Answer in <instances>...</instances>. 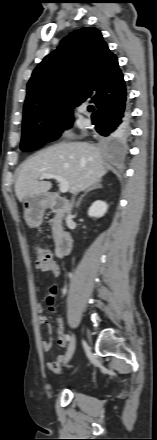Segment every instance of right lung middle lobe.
I'll list each match as a JSON object with an SVG mask.
<instances>
[{
	"label": "right lung middle lobe",
	"mask_w": 157,
	"mask_h": 440,
	"mask_svg": "<svg viewBox=\"0 0 157 440\" xmlns=\"http://www.w3.org/2000/svg\"><path fill=\"white\" fill-rule=\"evenodd\" d=\"M72 121L33 122L22 127V139L20 149L25 152L36 150L46 143L60 137L63 130L71 127ZM121 139L105 137V142H113Z\"/></svg>",
	"instance_id": "right-lung-middle-lobe-1"
}]
</instances>
